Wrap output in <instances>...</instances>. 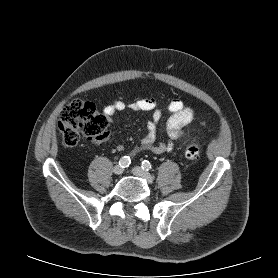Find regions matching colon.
<instances>
[{
	"label": "colon",
	"mask_w": 278,
	"mask_h": 278,
	"mask_svg": "<svg viewBox=\"0 0 278 278\" xmlns=\"http://www.w3.org/2000/svg\"><path fill=\"white\" fill-rule=\"evenodd\" d=\"M108 118L97 110L91 102L74 100L62 110L58 121V128L65 147H73L81 139H100L107 128ZM185 157L195 161L200 157V148L195 142L185 147Z\"/></svg>",
	"instance_id": "obj_1"
}]
</instances>
